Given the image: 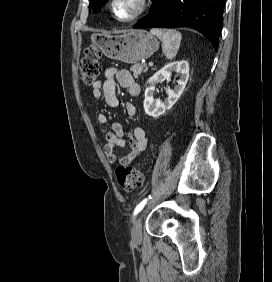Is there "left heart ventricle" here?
I'll list each match as a JSON object with an SVG mask.
<instances>
[{
  "instance_id": "1",
  "label": "left heart ventricle",
  "mask_w": 272,
  "mask_h": 282,
  "mask_svg": "<svg viewBox=\"0 0 272 282\" xmlns=\"http://www.w3.org/2000/svg\"><path fill=\"white\" fill-rule=\"evenodd\" d=\"M139 0H118L116 12L120 18H128L139 9Z\"/></svg>"
}]
</instances>
